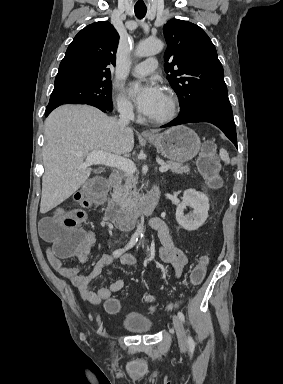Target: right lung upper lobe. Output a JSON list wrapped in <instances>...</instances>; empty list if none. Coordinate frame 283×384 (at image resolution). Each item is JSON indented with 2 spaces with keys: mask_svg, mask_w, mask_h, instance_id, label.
Wrapping results in <instances>:
<instances>
[{
  "mask_svg": "<svg viewBox=\"0 0 283 384\" xmlns=\"http://www.w3.org/2000/svg\"><path fill=\"white\" fill-rule=\"evenodd\" d=\"M119 35L107 21L82 29L67 48L60 63L55 86L91 80L110 79L109 66H115Z\"/></svg>",
  "mask_w": 283,
  "mask_h": 384,
  "instance_id": "1",
  "label": "right lung upper lobe"
}]
</instances>
